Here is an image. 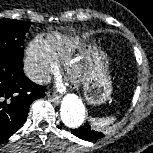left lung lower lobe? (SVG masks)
<instances>
[{"label":"left lung lower lobe","mask_w":153,"mask_h":153,"mask_svg":"<svg viewBox=\"0 0 153 153\" xmlns=\"http://www.w3.org/2000/svg\"><path fill=\"white\" fill-rule=\"evenodd\" d=\"M71 132L76 137L86 141L97 140L104 136L103 133L93 130L88 122L78 129H72Z\"/></svg>","instance_id":"0a47b994"}]
</instances>
